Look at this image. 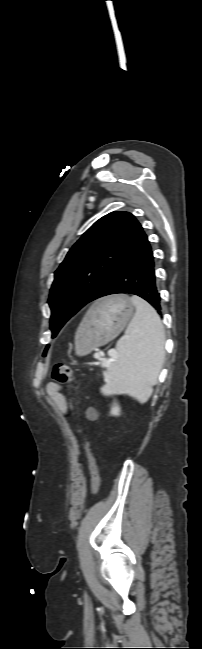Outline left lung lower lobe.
<instances>
[{"label": "left lung lower lobe", "instance_id": "1", "mask_svg": "<svg viewBox=\"0 0 202 649\" xmlns=\"http://www.w3.org/2000/svg\"><path fill=\"white\" fill-rule=\"evenodd\" d=\"M154 267L155 262L150 243L141 229L103 281L94 300L117 293L135 294L148 301L161 315L162 308L156 287ZM48 348L49 345L45 348V355Z\"/></svg>", "mask_w": 202, "mask_h": 649}]
</instances>
